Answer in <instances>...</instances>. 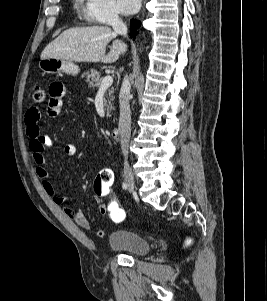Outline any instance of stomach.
Here are the masks:
<instances>
[{
	"label": "stomach",
	"instance_id": "0dacf381",
	"mask_svg": "<svg viewBox=\"0 0 267 301\" xmlns=\"http://www.w3.org/2000/svg\"><path fill=\"white\" fill-rule=\"evenodd\" d=\"M39 67L44 73L50 74L65 73L67 75L76 76L80 72L78 65L72 61L58 58L41 59Z\"/></svg>",
	"mask_w": 267,
	"mask_h": 301
}]
</instances>
